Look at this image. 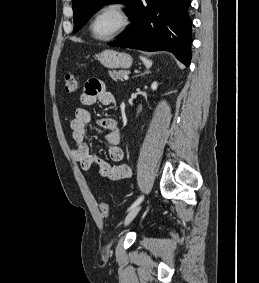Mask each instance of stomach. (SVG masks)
I'll list each match as a JSON object with an SVG mask.
<instances>
[{
  "mask_svg": "<svg viewBox=\"0 0 259 283\" xmlns=\"http://www.w3.org/2000/svg\"><path fill=\"white\" fill-rule=\"evenodd\" d=\"M96 57L103 66L110 69L129 68L133 61L129 54L109 49L97 54Z\"/></svg>",
  "mask_w": 259,
  "mask_h": 283,
  "instance_id": "0dacf381",
  "label": "stomach"
}]
</instances>
